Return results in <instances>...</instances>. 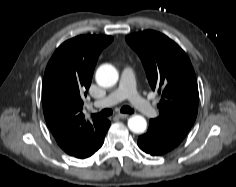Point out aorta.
<instances>
[{
	"label": "aorta",
	"instance_id": "aorta-1",
	"mask_svg": "<svg viewBox=\"0 0 236 187\" xmlns=\"http://www.w3.org/2000/svg\"><path fill=\"white\" fill-rule=\"evenodd\" d=\"M95 78L98 85L111 87L117 83L119 74L114 66L103 64L97 69ZM128 127L133 133H143L147 127L146 119L140 115H134L129 118Z\"/></svg>",
	"mask_w": 236,
	"mask_h": 187
}]
</instances>
